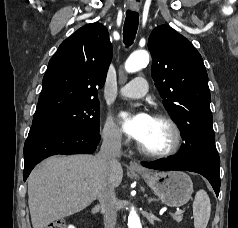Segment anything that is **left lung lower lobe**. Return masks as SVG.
<instances>
[{
	"instance_id": "left-lung-lower-lobe-1",
	"label": "left lung lower lobe",
	"mask_w": 238,
	"mask_h": 228,
	"mask_svg": "<svg viewBox=\"0 0 238 228\" xmlns=\"http://www.w3.org/2000/svg\"><path fill=\"white\" fill-rule=\"evenodd\" d=\"M144 167L156 170H182L203 175L211 183L216 195L220 188V159L217 150L204 152L192 159L181 161L177 155L159 159L155 162H142Z\"/></svg>"
}]
</instances>
